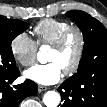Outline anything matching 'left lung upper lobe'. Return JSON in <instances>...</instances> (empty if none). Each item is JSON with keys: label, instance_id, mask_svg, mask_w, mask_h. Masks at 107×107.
<instances>
[{"label": "left lung upper lobe", "instance_id": "obj_1", "mask_svg": "<svg viewBox=\"0 0 107 107\" xmlns=\"http://www.w3.org/2000/svg\"><path fill=\"white\" fill-rule=\"evenodd\" d=\"M66 15L75 21L84 35L83 57L78 72L67 79L78 89L74 97H66V102L67 107H83L86 89L81 87L82 82L92 76L107 77V30L97 19L83 11L72 10Z\"/></svg>", "mask_w": 107, "mask_h": 107}]
</instances>
